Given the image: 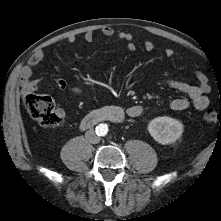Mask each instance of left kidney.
Masks as SVG:
<instances>
[{
  "label": "left kidney",
  "instance_id": "5707ae66",
  "mask_svg": "<svg viewBox=\"0 0 221 221\" xmlns=\"http://www.w3.org/2000/svg\"><path fill=\"white\" fill-rule=\"evenodd\" d=\"M148 131L162 145L176 142L183 133V124L171 117H157L148 124Z\"/></svg>",
  "mask_w": 221,
  "mask_h": 221
}]
</instances>
